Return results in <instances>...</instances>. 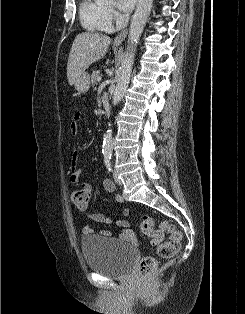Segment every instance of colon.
<instances>
[{
	"label": "colon",
	"instance_id": "obj_1",
	"mask_svg": "<svg viewBox=\"0 0 245 314\" xmlns=\"http://www.w3.org/2000/svg\"><path fill=\"white\" fill-rule=\"evenodd\" d=\"M89 193L86 190L80 189L72 193V203L79 209H85L89 202ZM142 232L147 235L152 244L157 246V255L160 258L168 259L174 256L182 240V234L179 230L166 220H161L158 223L148 214L143 216L141 225ZM164 233H169L170 238L166 242H162ZM156 260L152 256H146L141 259L138 265V274L141 280H145L155 269Z\"/></svg>",
	"mask_w": 245,
	"mask_h": 314
}]
</instances>
